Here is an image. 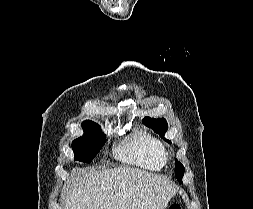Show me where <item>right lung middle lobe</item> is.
I'll return each instance as SVG.
<instances>
[{
  "label": "right lung middle lobe",
  "mask_w": 253,
  "mask_h": 209,
  "mask_svg": "<svg viewBox=\"0 0 253 209\" xmlns=\"http://www.w3.org/2000/svg\"><path fill=\"white\" fill-rule=\"evenodd\" d=\"M84 135L72 142L75 160L90 163L105 144L106 138L100 130V126L90 120L82 123Z\"/></svg>",
  "instance_id": "dd1d6c3e"
}]
</instances>
